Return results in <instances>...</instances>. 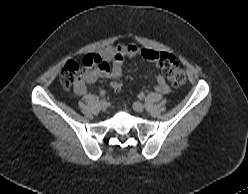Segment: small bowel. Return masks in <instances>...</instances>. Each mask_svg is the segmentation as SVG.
Wrapping results in <instances>:
<instances>
[{
	"label": "small bowel",
	"instance_id": "obj_1",
	"mask_svg": "<svg viewBox=\"0 0 248 194\" xmlns=\"http://www.w3.org/2000/svg\"><path fill=\"white\" fill-rule=\"evenodd\" d=\"M156 52L151 49H141L133 44H119L104 48L102 51L93 54V63L86 65L80 80L75 84L74 91L78 95L86 93V84L94 83L98 78H118L122 73L124 61L140 55L146 62L154 61ZM155 91L161 94L170 92V87L161 74L155 75Z\"/></svg>",
	"mask_w": 248,
	"mask_h": 194
}]
</instances>
